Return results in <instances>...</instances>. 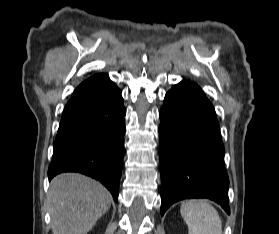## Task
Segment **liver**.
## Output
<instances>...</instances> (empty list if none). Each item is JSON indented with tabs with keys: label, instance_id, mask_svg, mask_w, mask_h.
I'll return each mask as SVG.
<instances>
[{
	"label": "liver",
	"instance_id": "1",
	"mask_svg": "<svg viewBox=\"0 0 279 234\" xmlns=\"http://www.w3.org/2000/svg\"><path fill=\"white\" fill-rule=\"evenodd\" d=\"M112 200L107 189L93 179L77 173L56 176L48 192L53 234H87Z\"/></svg>",
	"mask_w": 279,
	"mask_h": 234
}]
</instances>
